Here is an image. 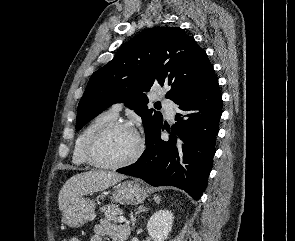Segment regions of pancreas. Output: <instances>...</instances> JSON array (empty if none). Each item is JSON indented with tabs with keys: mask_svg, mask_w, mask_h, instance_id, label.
Instances as JSON below:
<instances>
[{
	"mask_svg": "<svg viewBox=\"0 0 295 241\" xmlns=\"http://www.w3.org/2000/svg\"><path fill=\"white\" fill-rule=\"evenodd\" d=\"M101 211L104 213V216L107 220L112 221L114 223H118V217L123 214L122 210L114 204L103 206L101 208Z\"/></svg>",
	"mask_w": 295,
	"mask_h": 241,
	"instance_id": "obj_1",
	"label": "pancreas"
}]
</instances>
